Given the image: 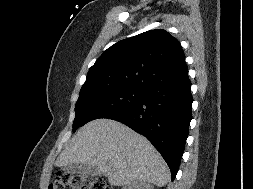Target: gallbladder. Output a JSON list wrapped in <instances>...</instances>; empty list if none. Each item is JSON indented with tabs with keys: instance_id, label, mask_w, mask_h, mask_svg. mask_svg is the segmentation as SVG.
Returning <instances> with one entry per match:
<instances>
[{
	"instance_id": "obj_1",
	"label": "gallbladder",
	"mask_w": 253,
	"mask_h": 189,
	"mask_svg": "<svg viewBox=\"0 0 253 189\" xmlns=\"http://www.w3.org/2000/svg\"><path fill=\"white\" fill-rule=\"evenodd\" d=\"M62 170L66 173H79L85 176H99L101 175L100 170L97 167L88 164H68L62 167Z\"/></svg>"
}]
</instances>
